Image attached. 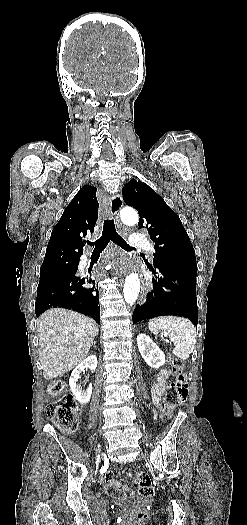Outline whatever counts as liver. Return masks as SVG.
<instances>
[{
  "instance_id": "liver-1",
  "label": "liver",
  "mask_w": 247,
  "mask_h": 525,
  "mask_svg": "<svg viewBox=\"0 0 247 525\" xmlns=\"http://www.w3.org/2000/svg\"><path fill=\"white\" fill-rule=\"evenodd\" d=\"M98 325L76 311L48 309L37 321L39 359L44 379H55L85 361Z\"/></svg>"
}]
</instances>
